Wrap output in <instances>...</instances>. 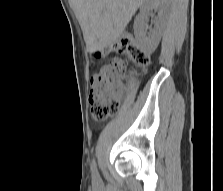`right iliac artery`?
I'll list each match as a JSON object with an SVG mask.
<instances>
[{"label":"right iliac artery","mask_w":223,"mask_h":191,"mask_svg":"<svg viewBox=\"0 0 223 191\" xmlns=\"http://www.w3.org/2000/svg\"><path fill=\"white\" fill-rule=\"evenodd\" d=\"M91 171H92V175H93L94 179H98L99 174H98L96 163H95L94 160H93L92 165H91Z\"/></svg>","instance_id":"right-iliac-artery-1"}]
</instances>
